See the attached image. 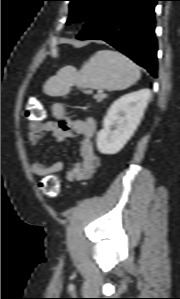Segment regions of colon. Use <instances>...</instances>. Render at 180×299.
Instances as JSON below:
<instances>
[{"mask_svg": "<svg viewBox=\"0 0 180 299\" xmlns=\"http://www.w3.org/2000/svg\"><path fill=\"white\" fill-rule=\"evenodd\" d=\"M46 115L45 109L38 100H32L28 103L27 116L33 120H43ZM40 189L45 196L55 198L61 190L60 179L55 175H49L40 182Z\"/></svg>", "mask_w": 180, "mask_h": 299, "instance_id": "1", "label": "colon"}]
</instances>
